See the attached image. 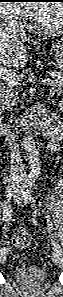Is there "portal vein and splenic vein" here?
Listing matches in <instances>:
<instances>
[{"instance_id":"portal-vein-and-splenic-vein-1","label":"portal vein and splenic vein","mask_w":63,"mask_h":297,"mask_svg":"<svg viewBox=\"0 0 63 297\" xmlns=\"http://www.w3.org/2000/svg\"><path fill=\"white\" fill-rule=\"evenodd\" d=\"M3 79H5L6 81L11 82V81H13L15 78H14L11 74H6V75L3 77ZM51 81H52V80H51L50 78H46V79H44L43 82H44L45 85H48Z\"/></svg>"}]
</instances>
